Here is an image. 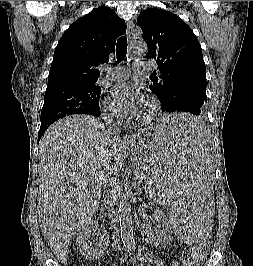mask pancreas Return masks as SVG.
<instances>
[{
	"label": "pancreas",
	"instance_id": "pancreas-1",
	"mask_svg": "<svg viewBox=\"0 0 253 266\" xmlns=\"http://www.w3.org/2000/svg\"><path fill=\"white\" fill-rule=\"evenodd\" d=\"M140 179L144 181V184L149 185V183H148L149 180H147L148 178H140Z\"/></svg>",
	"mask_w": 253,
	"mask_h": 266
}]
</instances>
